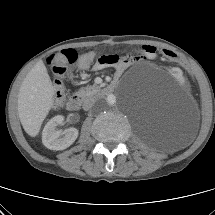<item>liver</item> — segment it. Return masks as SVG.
<instances>
[{"instance_id": "liver-1", "label": "liver", "mask_w": 215, "mask_h": 215, "mask_svg": "<svg viewBox=\"0 0 215 215\" xmlns=\"http://www.w3.org/2000/svg\"><path fill=\"white\" fill-rule=\"evenodd\" d=\"M54 87L43 61H38L19 89L17 109L25 132L35 137L53 106Z\"/></svg>"}]
</instances>
